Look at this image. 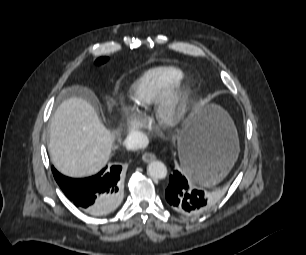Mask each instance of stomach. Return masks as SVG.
I'll list each match as a JSON object with an SVG mask.
<instances>
[{"mask_svg": "<svg viewBox=\"0 0 306 255\" xmlns=\"http://www.w3.org/2000/svg\"><path fill=\"white\" fill-rule=\"evenodd\" d=\"M188 146L209 155L214 162L211 178L192 175L191 179L203 186L219 182L228 174L239 152L237 131L232 119L216 105L197 108L178 136L181 161Z\"/></svg>", "mask_w": 306, "mask_h": 255, "instance_id": "stomach-1", "label": "stomach"}]
</instances>
